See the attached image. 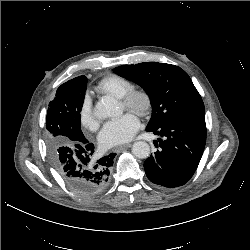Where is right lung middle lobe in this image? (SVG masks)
<instances>
[{"label":"right lung middle lobe","instance_id":"dd1d6c3e","mask_svg":"<svg viewBox=\"0 0 250 250\" xmlns=\"http://www.w3.org/2000/svg\"><path fill=\"white\" fill-rule=\"evenodd\" d=\"M87 78L82 75L62 84L49 103L46 117L45 140L49 154L60 146H71L85 137L81 131L82 109Z\"/></svg>","mask_w":250,"mask_h":250}]
</instances>
